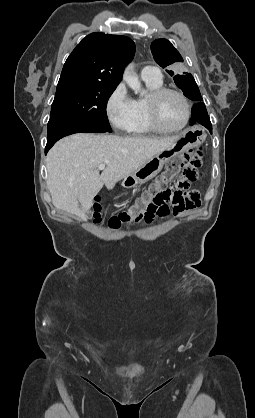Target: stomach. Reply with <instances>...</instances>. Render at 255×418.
I'll list each match as a JSON object with an SVG mask.
<instances>
[{
  "label": "stomach",
  "mask_w": 255,
  "mask_h": 418,
  "mask_svg": "<svg viewBox=\"0 0 255 418\" xmlns=\"http://www.w3.org/2000/svg\"><path fill=\"white\" fill-rule=\"evenodd\" d=\"M206 134L200 127H191L182 132L179 139L168 149L154 155L131 175L124 178L123 185L134 187L153 179L171 158L205 141Z\"/></svg>",
  "instance_id": "stomach-1"
}]
</instances>
